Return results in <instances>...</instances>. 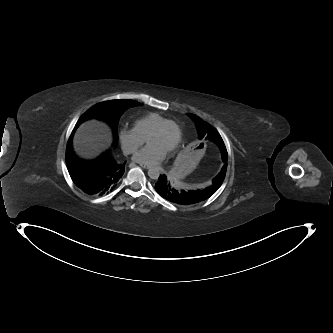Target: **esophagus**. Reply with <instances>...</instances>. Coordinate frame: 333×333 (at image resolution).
I'll return each mask as SVG.
<instances>
[{
	"mask_svg": "<svg viewBox=\"0 0 333 333\" xmlns=\"http://www.w3.org/2000/svg\"><path fill=\"white\" fill-rule=\"evenodd\" d=\"M140 166L143 167L144 169H149L151 166L146 164V163H140Z\"/></svg>",
	"mask_w": 333,
	"mask_h": 333,
	"instance_id": "esophagus-1",
	"label": "esophagus"
}]
</instances>
